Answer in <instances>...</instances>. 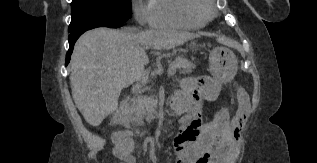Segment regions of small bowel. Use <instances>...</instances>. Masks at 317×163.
Here are the masks:
<instances>
[{"label": "small bowel", "instance_id": "obj_1", "mask_svg": "<svg viewBox=\"0 0 317 163\" xmlns=\"http://www.w3.org/2000/svg\"><path fill=\"white\" fill-rule=\"evenodd\" d=\"M243 99L230 117L221 111L213 124L204 125L203 101L215 100L220 83L211 77L185 80L171 100V109L182 113L181 129L173 140L176 163H233L237 156L240 130L250 113V102L243 89ZM135 143L129 135H121L115 155L121 163H136Z\"/></svg>", "mask_w": 317, "mask_h": 163}]
</instances>
